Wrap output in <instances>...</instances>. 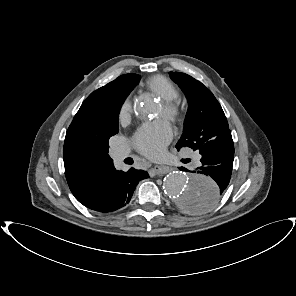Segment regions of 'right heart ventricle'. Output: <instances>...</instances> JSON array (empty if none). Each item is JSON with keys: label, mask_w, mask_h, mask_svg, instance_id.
Here are the masks:
<instances>
[{"label": "right heart ventricle", "mask_w": 296, "mask_h": 296, "mask_svg": "<svg viewBox=\"0 0 296 296\" xmlns=\"http://www.w3.org/2000/svg\"><path fill=\"white\" fill-rule=\"evenodd\" d=\"M147 87L162 100L174 101L179 97L175 85L164 76H153L147 80Z\"/></svg>", "instance_id": "e07e8e85"}]
</instances>
